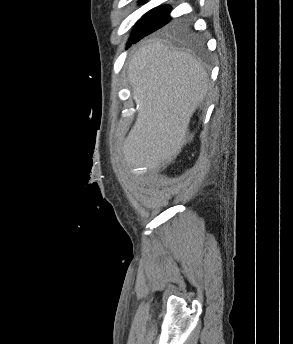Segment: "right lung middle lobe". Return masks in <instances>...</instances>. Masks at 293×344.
Returning <instances> with one entry per match:
<instances>
[{
  "instance_id": "obj_1",
  "label": "right lung middle lobe",
  "mask_w": 293,
  "mask_h": 344,
  "mask_svg": "<svg viewBox=\"0 0 293 344\" xmlns=\"http://www.w3.org/2000/svg\"><path fill=\"white\" fill-rule=\"evenodd\" d=\"M170 6H162L155 8L143 16L142 20L137 24L129 40L128 45L137 42L144 36L156 31L166 25L170 20ZM177 32L183 38L189 41H196V36L187 28L177 27Z\"/></svg>"
}]
</instances>
